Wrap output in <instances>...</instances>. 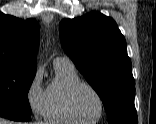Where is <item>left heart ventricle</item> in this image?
Returning <instances> with one entry per match:
<instances>
[{"label": "left heart ventricle", "instance_id": "b2bd125f", "mask_svg": "<svg viewBox=\"0 0 156 124\" xmlns=\"http://www.w3.org/2000/svg\"><path fill=\"white\" fill-rule=\"evenodd\" d=\"M76 107L79 113L88 120L95 119L101 111L98 97L89 89L82 88L76 96Z\"/></svg>", "mask_w": 156, "mask_h": 124}]
</instances>
